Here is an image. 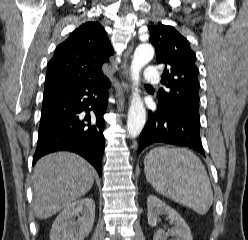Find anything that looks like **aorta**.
I'll list each match as a JSON object with an SVG mask.
<instances>
[{"instance_id":"762f6f07","label":"aorta","mask_w":248,"mask_h":240,"mask_svg":"<svg viewBox=\"0 0 248 240\" xmlns=\"http://www.w3.org/2000/svg\"><path fill=\"white\" fill-rule=\"evenodd\" d=\"M153 56V47L150 44H141L136 48L131 63V79L133 81L134 91L128 111L127 131L134 138L141 133L146 122V109L138 90L140 71Z\"/></svg>"}]
</instances>
